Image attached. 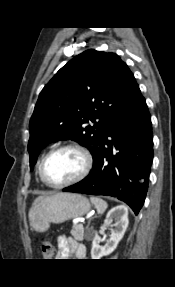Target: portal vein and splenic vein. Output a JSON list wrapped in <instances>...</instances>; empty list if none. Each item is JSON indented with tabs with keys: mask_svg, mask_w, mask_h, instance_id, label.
I'll return each instance as SVG.
<instances>
[{
	"mask_svg": "<svg viewBox=\"0 0 175 287\" xmlns=\"http://www.w3.org/2000/svg\"><path fill=\"white\" fill-rule=\"evenodd\" d=\"M78 222H79V221H78ZM83 222H84V219L80 221V223H83ZM80 225H82V224H80Z\"/></svg>",
	"mask_w": 175,
	"mask_h": 287,
	"instance_id": "portal-vein-and-splenic-vein-1",
	"label": "portal vein and splenic vein"
}]
</instances>
